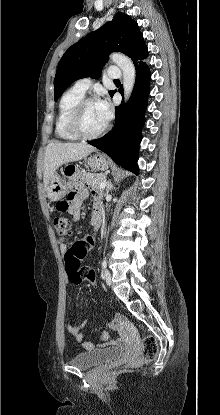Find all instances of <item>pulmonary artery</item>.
I'll return each instance as SVG.
<instances>
[{"label":"pulmonary artery","mask_w":220,"mask_h":415,"mask_svg":"<svg viewBox=\"0 0 220 415\" xmlns=\"http://www.w3.org/2000/svg\"><path fill=\"white\" fill-rule=\"evenodd\" d=\"M108 76L110 78H119L121 77V70L118 67H110L108 70ZM91 79L90 78H83L78 80L75 84H74V89L78 90L81 93H86V91L89 89V87L91 86Z\"/></svg>","instance_id":"obj_1"}]
</instances>
